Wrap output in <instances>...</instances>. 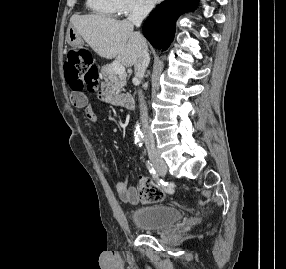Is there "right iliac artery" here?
Returning a JSON list of instances; mask_svg holds the SVG:
<instances>
[{"label": "right iliac artery", "mask_w": 286, "mask_h": 269, "mask_svg": "<svg viewBox=\"0 0 286 269\" xmlns=\"http://www.w3.org/2000/svg\"><path fill=\"white\" fill-rule=\"evenodd\" d=\"M147 166L149 169V172L152 174L153 178L157 180L159 185L164 186L165 188H169V186L167 185V183H165L162 179L159 178L158 174L156 173L154 167L152 166L151 163H149V161L147 162Z\"/></svg>", "instance_id": "82829eb1"}]
</instances>
